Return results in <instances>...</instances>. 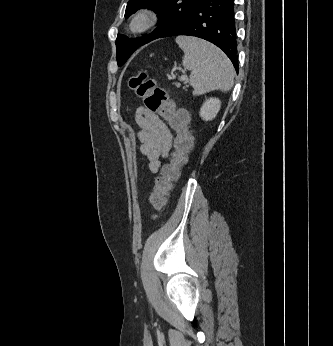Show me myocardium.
Returning <instances> with one entry per match:
<instances>
[{"instance_id":"f54148a6","label":"myocardium","mask_w":333,"mask_h":346,"mask_svg":"<svg viewBox=\"0 0 333 346\" xmlns=\"http://www.w3.org/2000/svg\"><path fill=\"white\" fill-rule=\"evenodd\" d=\"M156 20L157 13L153 8H141L131 17L128 29L132 33H143L152 28Z\"/></svg>"}]
</instances>
